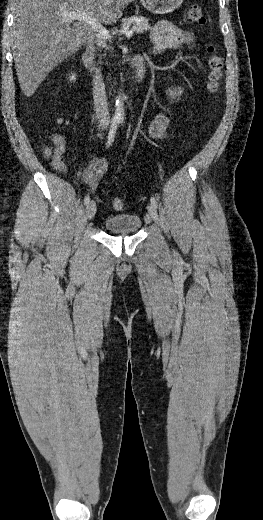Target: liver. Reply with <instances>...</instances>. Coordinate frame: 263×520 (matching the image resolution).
<instances>
[{
  "instance_id": "6515ba94",
  "label": "liver",
  "mask_w": 263,
  "mask_h": 520,
  "mask_svg": "<svg viewBox=\"0 0 263 520\" xmlns=\"http://www.w3.org/2000/svg\"><path fill=\"white\" fill-rule=\"evenodd\" d=\"M134 0H16L11 32L15 68L27 97L62 60L91 41L92 27L63 13L83 12L99 23L113 24ZM75 21V22H74Z\"/></svg>"
}]
</instances>
